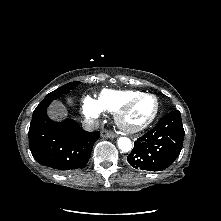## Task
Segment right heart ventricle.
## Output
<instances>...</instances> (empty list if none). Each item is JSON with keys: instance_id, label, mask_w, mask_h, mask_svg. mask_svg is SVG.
Here are the masks:
<instances>
[{"instance_id": "right-heart-ventricle-1", "label": "right heart ventricle", "mask_w": 221, "mask_h": 221, "mask_svg": "<svg viewBox=\"0 0 221 221\" xmlns=\"http://www.w3.org/2000/svg\"><path fill=\"white\" fill-rule=\"evenodd\" d=\"M138 90H109L101 91L96 103L101 111L115 112L126 100L141 94Z\"/></svg>"}]
</instances>
